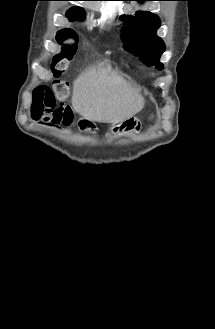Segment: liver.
<instances>
[{
	"label": "liver",
	"instance_id": "6515ba94",
	"mask_svg": "<svg viewBox=\"0 0 215 329\" xmlns=\"http://www.w3.org/2000/svg\"><path fill=\"white\" fill-rule=\"evenodd\" d=\"M72 107L99 123L124 121L144 108V98L115 72L90 67L74 81Z\"/></svg>",
	"mask_w": 215,
	"mask_h": 329
}]
</instances>
